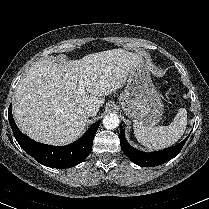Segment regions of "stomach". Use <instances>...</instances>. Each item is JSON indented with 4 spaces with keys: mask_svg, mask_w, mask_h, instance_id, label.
Instances as JSON below:
<instances>
[{
    "mask_svg": "<svg viewBox=\"0 0 209 209\" xmlns=\"http://www.w3.org/2000/svg\"><path fill=\"white\" fill-rule=\"evenodd\" d=\"M119 103L126 116L145 127H153L162 119L164 106L145 63L130 71Z\"/></svg>",
    "mask_w": 209,
    "mask_h": 209,
    "instance_id": "obj_1",
    "label": "stomach"
}]
</instances>
